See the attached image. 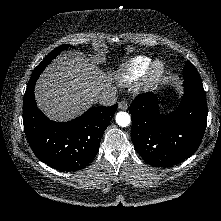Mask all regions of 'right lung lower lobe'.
Instances as JSON below:
<instances>
[{
    "mask_svg": "<svg viewBox=\"0 0 221 221\" xmlns=\"http://www.w3.org/2000/svg\"><path fill=\"white\" fill-rule=\"evenodd\" d=\"M35 81L29 82L24 95L23 124L35 156L61 171L85 168L96 156L101 137L117 105L93 107L68 122L48 119L37 107Z\"/></svg>",
    "mask_w": 221,
    "mask_h": 221,
    "instance_id": "98d812e1",
    "label": "right lung lower lobe"
}]
</instances>
